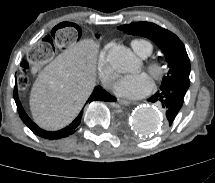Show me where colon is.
Instances as JSON below:
<instances>
[{"label":"colon","instance_id":"colon-1","mask_svg":"<svg viewBox=\"0 0 215 183\" xmlns=\"http://www.w3.org/2000/svg\"><path fill=\"white\" fill-rule=\"evenodd\" d=\"M81 27L74 20H63L51 32L39 36L29 48L25 71L33 77H44L49 73L53 60L81 39ZM27 85L26 76H21L19 86Z\"/></svg>","mask_w":215,"mask_h":183}]
</instances>
